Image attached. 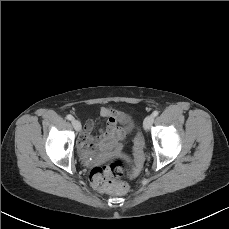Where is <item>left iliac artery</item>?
Listing matches in <instances>:
<instances>
[{
	"label": "left iliac artery",
	"instance_id": "obj_1",
	"mask_svg": "<svg viewBox=\"0 0 229 229\" xmlns=\"http://www.w3.org/2000/svg\"><path fill=\"white\" fill-rule=\"evenodd\" d=\"M158 114H159V112H158L157 110H155V111L152 113V115H153L154 117H156Z\"/></svg>",
	"mask_w": 229,
	"mask_h": 229
}]
</instances>
